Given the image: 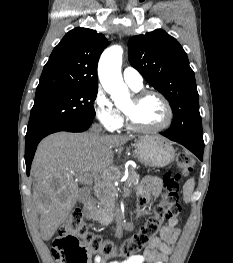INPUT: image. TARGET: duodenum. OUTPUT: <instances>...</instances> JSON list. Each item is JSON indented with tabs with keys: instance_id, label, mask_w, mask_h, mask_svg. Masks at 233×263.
Listing matches in <instances>:
<instances>
[{
	"instance_id": "410a0bca",
	"label": "duodenum",
	"mask_w": 233,
	"mask_h": 263,
	"mask_svg": "<svg viewBox=\"0 0 233 263\" xmlns=\"http://www.w3.org/2000/svg\"><path fill=\"white\" fill-rule=\"evenodd\" d=\"M92 209H93V201L91 200V198H87V199L84 201V211H85L87 214H91Z\"/></svg>"
}]
</instances>
